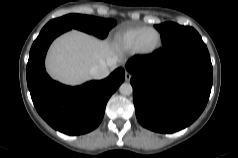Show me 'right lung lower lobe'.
Instances as JSON below:
<instances>
[{"label": "right lung lower lobe", "instance_id": "right-lung-lower-lobe-1", "mask_svg": "<svg viewBox=\"0 0 238 158\" xmlns=\"http://www.w3.org/2000/svg\"><path fill=\"white\" fill-rule=\"evenodd\" d=\"M68 30L54 27L40 32L29 54L27 85L37 112L52 128L80 135L100 124L107 101L124 81L125 71L118 68L104 80L77 87L53 81L45 71V55L51 42Z\"/></svg>", "mask_w": 238, "mask_h": 158}]
</instances>
